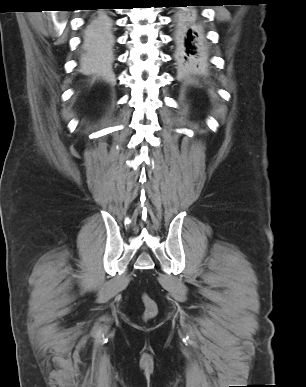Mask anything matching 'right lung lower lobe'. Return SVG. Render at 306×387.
I'll return each instance as SVG.
<instances>
[{"label": "right lung lower lobe", "mask_w": 306, "mask_h": 387, "mask_svg": "<svg viewBox=\"0 0 306 387\" xmlns=\"http://www.w3.org/2000/svg\"><path fill=\"white\" fill-rule=\"evenodd\" d=\"M113 44L112 21L105 11L92 13L86 21L81 52L85 64L106 62Z\"/></svg>", "instance_id": "obj_1"}]
</instances>
